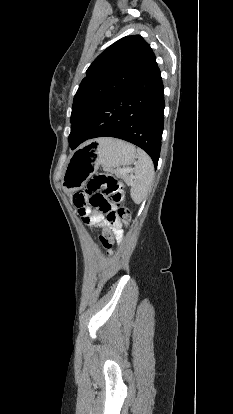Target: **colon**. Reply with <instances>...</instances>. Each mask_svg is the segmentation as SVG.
I'll return each instance as SVG.
<instances>
[{"label":"colon","mask_w":233,"mask_h":414,"mask_svg":"<svg viewBox=\"0 0 233 414\" xmlns=\"http://www.w3.org/2000/svg\"><path fill=\"white\" fill-rule=\"evenodd\" d=\"M123 184L115 177L107 174H97L87 183L84 192H77L73 196L76 207L84 210L90 204L92 207L106 214L104 219L111 221L118 218L128 225L131 220V213L123 203ZM115 205V211L112 210ZM102 246L109 252L113 247V237L108 230H104L100 237Z\"/></svg>","instance_id":"colon-1"}]
</instances>
